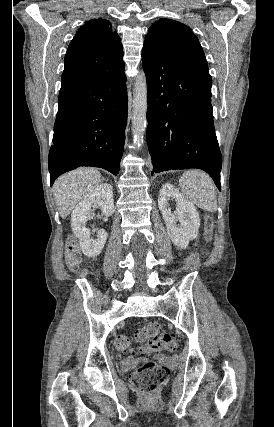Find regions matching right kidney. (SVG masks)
Masks as SVG:
<instances>
[{"label":"right kidney","instance_id":"1","mask_svg":"<svg viewBox=\"0 0 274 427\" xmlns=\"http://www.w3.org/2000/svg\"><path fill=\"white\" fill-rule=\"evenodd\" d=\"M100 208L102 214L112 215L114 212V198L110 184L95 186L83 200L75 206L71 214V229L79 239L81 249L88 257H97L101 253L108 237L105 229H98L96 239H91L90 229L85 227L90 217L91 208Z\"/></svg>","mask_w":274,"mask_h":427}]
</instances>
